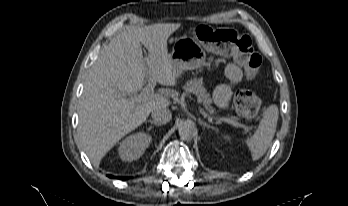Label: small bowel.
Segmentation results:
<instances>
[{"mask_svg": "<svg viewBox=\"0 0 348 206\" xmlns=\"http://www.w3.org/2000/svg\"><path fill=\"white\" fill-rule=\"evenodd\" d=\"M225 82L218 85L214 92V100L219 108H226L232 96L233 87L242 80V71L234 63H229L224 70Z\"/></svg>", "mask_w": 348, "mask_h": 206, "instance_id": "obj_1", "label": "small bowel"}]
</instances>
